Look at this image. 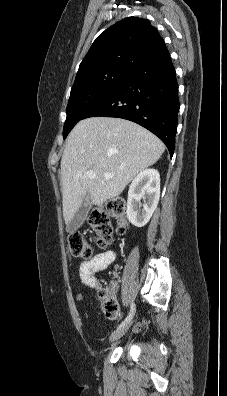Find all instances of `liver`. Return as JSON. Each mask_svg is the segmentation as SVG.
I'll use <instances>...</instances> for the list:
<instances>
[{
	"mask_svg": "<svg viewBox=\"0 0 227 396\" xmlns=\"http://www.w3.org/2000/svg\"><path fill=\"white\" fill-rule=\"evenodd\" d=\"M164 150L157 136L134 122L100 116L81 120L70 132L61 159L65 223L71 221L85 196L94 205L119 196ZM88 171L96 177L89 178ZM105 173L113 177L106 178Z\"/></svg>",
	"mask_w": 227,
	"mask_h": 396,
	"instance_id": "1",
	"label": "liver"
}]
</instances>
